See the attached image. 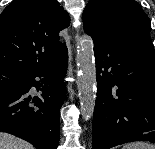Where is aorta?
Here are the masks:
<instances>
[{"label": "aorta", "instance_id": "1", "mask_svg": "<svg viewBox=\"0 0 155 149\" xmlns=\"http://www.w3.org/2000/svg\"><path fill=\"white\" fill-rule=\"evenodd\" d=\"M94 44L89 36H83L79 42L77 53L78 95L82 118L91 119L96 101V66L94 60Z\"/></svg>", "mask_w": 155, "mask_h": 149}]
</instances>
